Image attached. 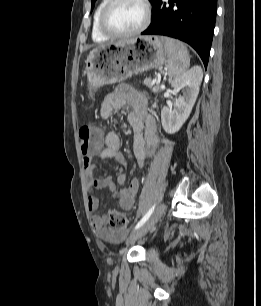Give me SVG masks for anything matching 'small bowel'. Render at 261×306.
<instances>
[{
  "instance_id": "1",
  "label": "small bowel",
  "mask_w": 261,
  "mask_h": 306,
  "mask_svg": "<svg viewBox=\"0 0 261 306\" xmlns=\"http://www.w3.org/2000/svg\"><path fill=\"white\" fill-rule=\"evenodd\" d=\"M130 104L131 111L128 114V122L133 130V153L136 162L142 166L146 159L154 152L159 142L155 119L147 111L146 97L127 85H119L110 92L104 99L100 114L107 119L115 112ZM104 148L98 153L101 159H114L118 163L125 164V156L121 153V138L115 131H109L104 138ZM84 167L86 170V188L88 192L87 207L92 216V225L97 235L110 243H119L126 238V232L120 229H110L107 227V217L97 216L99 200L94 195L98 190L106 189L111 192L120 206L125 210L133 207L134 197L139 189V180L133 178L128 186L125 174H119L116 182L121 188L116 190L115 183L111 177L95 178L94 157L92 155L84 157Z\"/></svg>"
}]
</instances>
